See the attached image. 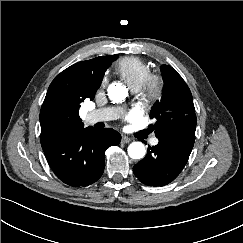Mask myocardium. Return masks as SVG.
I'll use <instances>...</instances> for the list:
<instances>
[{
    "label": "myocardium",
    "instance_id": "obj_1",
    "mask_svg": "<svg viewBox=\"0 0 243 243\" xmlns=\"http://www.w3.org/2000/svg\"><path fill=\"white\" fill-rule=\"evenodd\" d=\"M165 86L160 74H150L139 91V99L144 107L154 104L162 95Z\"/></svg>",
    "mask_w": 243,
    "mask_h": 243
}]
</instances>
